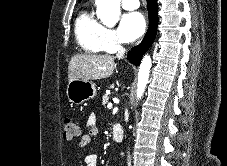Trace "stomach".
I'll return each mask as SVG.
<instances>
[{
  "label": "stomach",
  "mask_w": 227,
  "mask_h": 166,
  "mask_svg": "<svg viewBox=\"0 0 227 166\" xmlns=\"http://www.w3.org/2000/svg\"><path fill=\"white\" fill-rule=\"evenodd\" d=\"M66 94L71 103L79 105L96 96V87L90 81L73 79L67 85Z\"/></svg>",
  "instance_id": "1"
}]
</instances>
